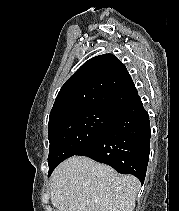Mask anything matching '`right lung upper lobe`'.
<instances>
[{
    "mask_svg": "<svg viewBox=\"0 0 179 211\" xmlns=\"http://www.w3.org/2000/svg\"><path fill=\"white\" fill-rule=\"evenodd\" d=\"M125 65L113 54L85 62L61 87L49 116V123L86 109L118 111L137 95Z\"/></svg>",
    "mask_w": 179,
    "mask_h": 211,
    "instance_id": "right-lung-upper-lobe-1",
    "label": "right lung upper lobe"
}]
</instances>
